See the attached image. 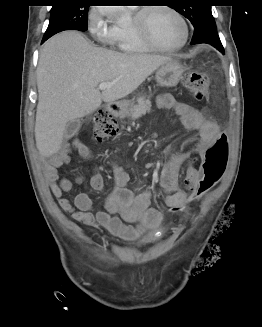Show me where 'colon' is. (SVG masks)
I'll return each mask as SVG.
<instances>
[{"label": "colon", "mask_w": 262, "mask_h": 327, "mask_svg": "<svg viewBox=\"0 0 262 327\" xmlns=\"http://www.w3.org/2000/svg\"><path fill=\"white\" fill-rule=\"evenodd\" d=\"M187 91L196 99H204L208 93V77L197 71H189L183 77ZM93 137L102 142L115 135L118 131L115 120L106 109L97 111L93 118ZM229 155L228 140L221 134L215 142L201 155L198 163L200 178L196 188L187 196L186 201L170 211L183 212L189 205L198 201L221 178L225 171Z\"/></svg>", "instance_id": "1"}]
</instances>
